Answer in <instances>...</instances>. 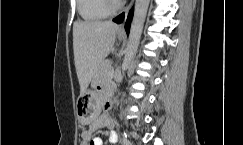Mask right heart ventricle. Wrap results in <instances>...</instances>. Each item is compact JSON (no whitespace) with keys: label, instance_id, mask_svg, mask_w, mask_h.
<instances>
[{"label":"right heart ventricle","instance_id":"1","mask_svg":"<svg viewBox=\"0 0 243 145\" xmlns=\"http://www.w3.org/2000/svg\"><path fill=\"white\" fill-rule=\"evenodd\" d=\"M79 16L86 22H97L107 18L111 12L107 10L103 0H76Z\"/></svg>","mask_w":243,"mask_h":145}]
</instances>
